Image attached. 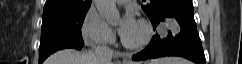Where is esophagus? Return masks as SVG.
Instances as JSON below:
<instances>
[{"label": "esophagus", "instance_id": "esophagus-1", "mask_svg": "<svg viewBox=\"0 0 242 64\" xmlns=\"http://www.w3.org/2000/svg\"><path fill=\"white\" fill-rule=\"evenodd\" d=\"M123 62H124L125 64H127V63H128V61H127V60H124Z\"/></svg>", "mask_w": 242, "mask_h": 64}]
</instances>
